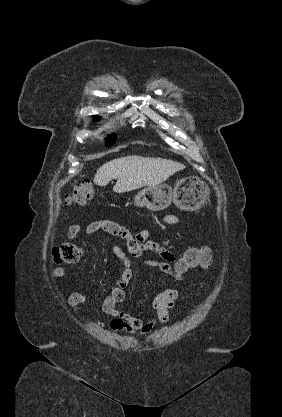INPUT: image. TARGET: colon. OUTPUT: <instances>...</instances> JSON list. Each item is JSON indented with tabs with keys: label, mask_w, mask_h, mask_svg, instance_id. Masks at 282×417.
<instances>
[{
	"label": "colon",
	"mask_w": 282,
	"mask_h": 417,
	"mask_svg": "<svg viewBox=\"0 0 282 417\" xmlns=\"http://www.w3.org/2000/svg\"><path fill=\"white\" fill-rule=\"evenodd\" d=\"M95 193V186L89 182L77 184L68 197L72 204H82L89 200ZM82 256V250L70 242H62L57 245L52 253V259L56 263L76 264ZM181 266H164L165 270L178 277L185 275L196 266L209 268L213 264V253L210 248H189L182 256Z\"/></svg>",
	"instance_id": "1"
}]
</instances>
